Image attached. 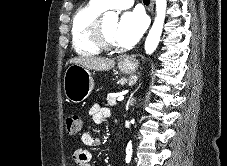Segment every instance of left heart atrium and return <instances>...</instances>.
<instances>
[{
  "label": "left heart atrium",
  "instance_id": "left-heart-atrium-1",
  "mask_svg": "<svg viewBox=\"0 0 227 166\" xmlns=\"http://www.w3.org/2000/svg\"><path fill=\"white\" fill-rule=\"evenodd\" d=\"M147 27V18L139 10L124 13L115 30V40L122 45L134 44Z\"/></svg>",
  "mask_w": 227,
  "mask_h": 166
}]
</instances>
